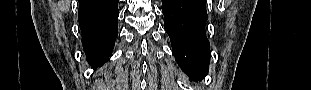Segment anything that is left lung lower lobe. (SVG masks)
Returning <instances> with one entry per match:
<instances>
[{
  "instance_id": "0a47b994",
  "label": "left lung lower lobe",
  "mask_w": 311,
  "mask_h": 90,
  "mask_svg": "<svg viewBox=\"0 0 311 90\" xmlns=\"http://www.w3.org/2000/svg\"><path fill=\"white\" fill-rule=\"evenodd\" d=\"M162 13L165 31L180 68L190 78L205 77L210 60L204 29L208 19L206 0H162Z\"/></svg>"
}]
</instances>
